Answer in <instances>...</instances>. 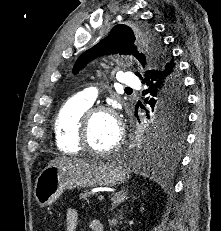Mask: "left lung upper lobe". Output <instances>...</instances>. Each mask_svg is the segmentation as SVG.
<instances>
[{"label": "left lung upper lobe", "mask_w": 221, "mask_h": 231, "mask_svg": "<svg viewBox=\"0 0 221 231\" xmlns=\"http://www.w3.org/2000/svg\"><path fill=\"white\" fill-rule=\"evenodd\" d=\"M116 53L133 55L142 66L148 67L161 66L168 59L160 38L151 28L132 29L120 24L116 25L104 40L79 57L73 72L77 73L87 61L99 55ZM185 106L186 98L181 89L178 101L169 112L162 114L155 109L156 106L151 107L152 115L148 134L162 137L168 142H181L183 140L181 128L186 120Z\"/></svg>", "instance_id": "obj_1"}]
</instances>
